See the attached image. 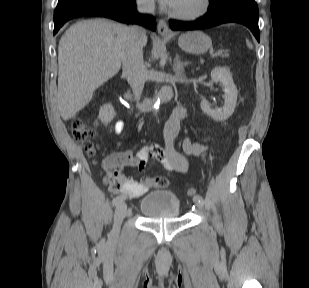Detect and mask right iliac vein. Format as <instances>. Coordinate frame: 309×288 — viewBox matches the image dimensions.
I'll use <instances>...</instances> for the list:
<instances>
[{"label":"right iliac vein","instance_id":"right-iliac-vein-1","mask_svg":"<svg viewBox=\"0 0 309 288\" xmlns=\"http://www.w3.org/2000/svg\"><path fill=\"white\" fill-rule=\"evenodd\" d=\"M127 212V206L124 200H120L116 205L115 214H114V227L112 231V238L116 239L119 234L120 225L125 218Z\"/></svg>","mask_w":309,"mask_h":288}]
</instances>
